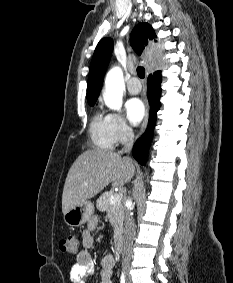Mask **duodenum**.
Listing matches in <instances>:
<instances>
[{
  "label": "duodenum",
  "instance_id": "duodenum-1",
  "mask_svg": "<svg viewBox=\"0 0 233 283\" xmlns=\"http://www.w3.org/2000/svg\"><path fill=\"white\" fill-rule=\"evenodd\" d=\"M115 247L117 252H120L122 249V240L119 237H117L115 240Z\"/></svg>",
  "mask_w": 233,
  "mask_h": 283
}]
</instances>
